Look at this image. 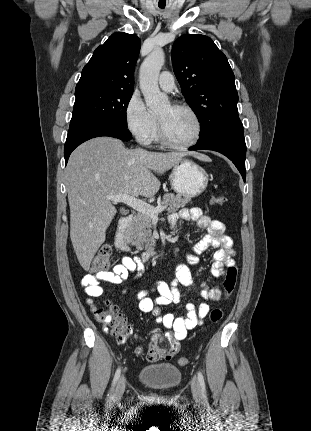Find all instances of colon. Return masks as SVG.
<instances>
[{
  "instance_id": "obj_1",
  "label": "colon",
  "mask_w": 311,
  "mask_h": 431,
  "mask_svg": "<svg viewBox=\"0 0 311 431\" xmlns=\"http://www.w3.org/2000/svg\"><path fill=\"white\" fill-rule=\"evenodd\" d=\"M211 204L223 205L225 198L219 195H213L210 200ZM112 248L110 245H103L91 263V271L94 273L104 271L111 262ZM237 267L229 266L224 280V289L226 294L229 295L235 288L237 282ZM102 322H105L110 327L111 333L117 338L119 343H126L132 335V329L125 319L119 314L117 308L110 303H105L102 307L96 310ZM223 312L220 308H214L210 311V321L217 323L221 320ZM179 344L167 337L154 338L145 349L146 357L149 361H157L161 359H170L179 351ZM142 349H137L141 353ZM179 365L185 366L189 360L186 357L179 359Z\"/></svg>"
}]
</instances>
